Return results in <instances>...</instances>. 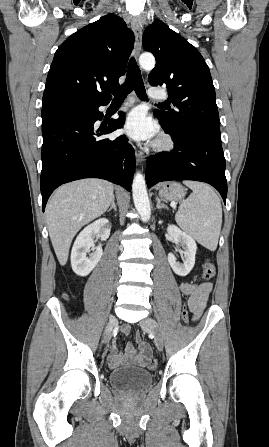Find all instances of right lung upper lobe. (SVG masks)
<instances>
[{
	"mask_svg": "<svg viewBox=\"0 0 269 447\" xmlns=\"http://www.w3.org/2000/svg\"><path fill=\"white\" fill-rule=\"evenodd\" d=\"M134 34L114 14L71 35L57 49L43 94V107L89 98L110 99L133 49Z\"/></svg>",
	"mask_w": 269,
	"mask_h": 447,
	"instance_id": "cb5924a9",
	"label": "right lung upper lobe"
}]
</instances>
